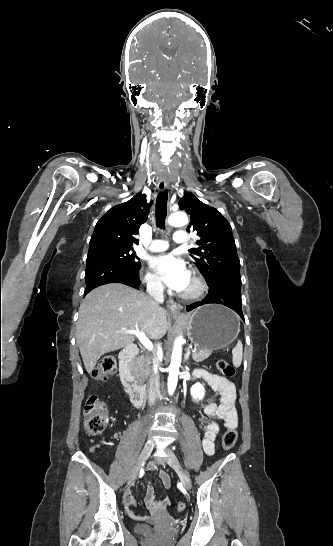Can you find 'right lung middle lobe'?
I'll return each instance as SVG.
<instances>
[{
  "label": "right lung middle lobe",
  "instance_id": "dd1d6c3e",
  "mask_svg": "<svg viewBox=\"0 0 333 546\" xmlns=\"http://www.w3.org/2000/svg\"><path fill=\"white\" fill-rule=\"evenodd\" d=\"M92 258L109 259L134 268L141 267V264L138 261L139 258L136 256L133 248L103 247L93 251H89L86 261Z\"/></svg>",
  "mask_w": 333,
  "mask_h": 546
}]
</instances>
